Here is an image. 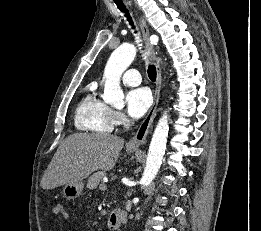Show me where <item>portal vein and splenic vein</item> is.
<instances>
[{
    "mask_svg": "<svg viewBox=\"0 0 261 231\" xmlns=\"http://www.w3.org/2000/svg\"><path fill=\"white\" fill-rule=\"evenodd\" d=\"M99 189L104 191V190L107 189V185H106V184H101V185L99 186Z\"/></svg>",
    "mask_w": 261,
    "mask_h": 231,
    "instance_id": "1",
    "label": "portal vein and splenic vein"
}]
</instances>
